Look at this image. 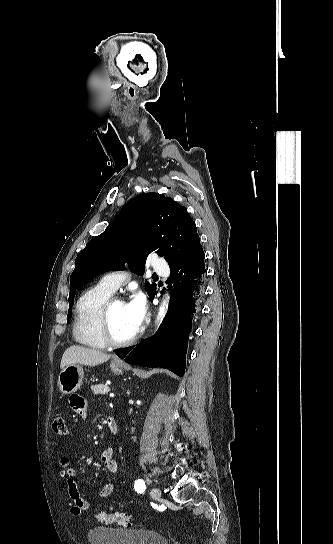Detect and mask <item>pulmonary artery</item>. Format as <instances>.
<instances>
[{"mask_svg": "<svg viewBox=\"0 0 333 544\" xmlns=\"http://www.w3.org/2000/svg\"><path fill=\"white\" fill-rule=\"evenodd\" d=\"M153 270L161 276H167L169 273L167 264L160 259L154 261ZM127 279V273L116 271L104 275L101 278L100 283L114 293L122 284L126 282Z\"/></svg>", "mask_w": 333, "mask_h": 544, "instance_id": "1", "label": "pulmonary artery"}]
</instances>
